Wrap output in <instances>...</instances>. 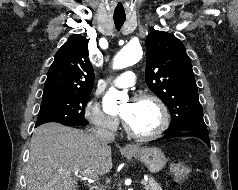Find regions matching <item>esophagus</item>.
Returning <instances> with one entry per match:
<instances>
[{
    "label": "esophagus",
    "mask_w": 238,
    "mask_h": 190,
    "mask_svg": "<svg viewBox=\"0 0 238 190\" xmlns=\"http://www.w3.org/2000/svg\"><path fill=\"white\" fill-rule=\"evenodd\" d=\"M134 149H135V147L132 144H127L124 146L125 151H132Z\"/></svg>",
    "instance_id": "esophagus-1"
}]
</instances>
